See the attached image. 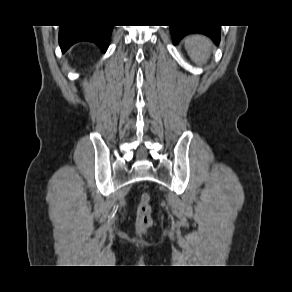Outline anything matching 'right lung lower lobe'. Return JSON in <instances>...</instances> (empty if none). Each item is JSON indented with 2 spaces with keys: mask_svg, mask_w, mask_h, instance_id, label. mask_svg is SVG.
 <instances>
[{
  "mask_svg": "<svg viewBox=\"0 0 292 292\" xmlns=\"http://www.w3.org/2000/svg\"><path fill=\"white\" fill-rule=\"evenodd\" d=\"M112 28L111 25L61 26L59 31L60 47L65 52L77 42L89 41L95 43L105 52L109 46Z\"/></svg>",
  "mask_w": 292,
  "mask_h": 292,
  "instance_id": "1",
  "label": "right lung lower lobe"
}]
</instances>
